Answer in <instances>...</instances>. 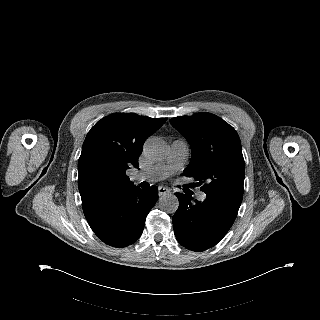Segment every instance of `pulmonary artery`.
<instances>
[{
	"label": "pulmonary artery",
	"instance_id": "1",
	"mask_svg": "<svg viewBox=\"0 0 320 320\" xmlns=\"http://www.w3.org/2000/svg\"><path fill=\"white\" fill-rule=\"evenodd\" d=\"M187 156V142L183 139H176L171 143L170 152L165 163L138 172L133 176V179L135 181L149 182L165 179L185 163ZM197 197L202 201L206 198V195L205 193L200 192Z\"/></svg>",
	"mask_w": 320,
	"mask_h": 320
}]
</instances>
